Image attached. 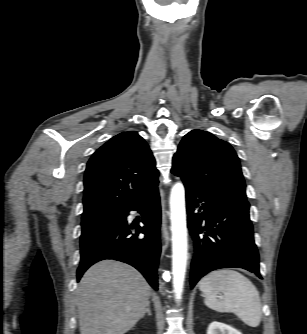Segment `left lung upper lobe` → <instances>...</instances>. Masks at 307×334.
I'll return each instance as SVG.
<instances>
[{
    "instance_id": "5c2ea615",
    "label": "left lung upper lobe",
    "mask_w": 307,
    "mask_h": 334,
    "mask_svg": "<svg viewBox=\"0 0 307 334\" xmlns=\"http://www.w3.org/2000/svg\"><path fill=\"white\" fill-rule=\"evenodd\" d=\"M171 171L184 182L246 200L237 154L227 142L209 132L192 130L183 137Z\"/></svg>"
}]
</instances>
